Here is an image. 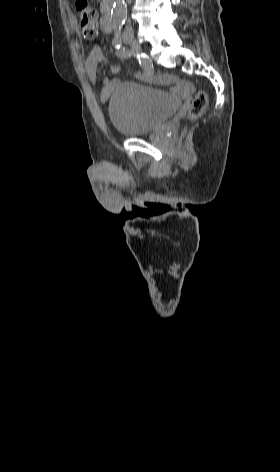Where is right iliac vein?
Returning <instances> with one entry per match:
<instances>
[{
    "instance_id": "right-iliac-vein-1",
    "label": "right iliac vein",
    "mask_w": 280,
    "mask_h": 472,
    "mask_svg": "<svg viewBox=\"0 0 280 472\" xmlns=\"http://www.w3.org/2000/svg\"><path fill=\"white\" fill-rule=\"evenodd\" d=\"M129 43H131V47L134 51L140 52L141 46L136 40H132V37L129 38Z\"/></svg>"
}]
</instances>
